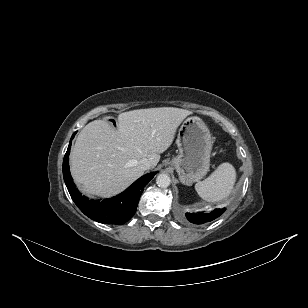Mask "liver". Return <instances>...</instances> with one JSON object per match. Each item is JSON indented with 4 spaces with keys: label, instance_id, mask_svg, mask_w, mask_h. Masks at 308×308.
Returning <instances> with one entry per match:
<instances>
[{
    "label": "liver",
    "instance_id": "liver-1",
    "mask_svg": "<svg viewBox=\"0 0 308 308\" xmlns=\"http://www.w3.org/2000/svg\"><path fill=\"white\" fill-rule=\"evenodd\" d=\"M192 112L174 107L121 113L118 128L104 120L88 123L70 155V169L83 193L108 198L141 177L139 160L155 168L173 142L177 127Z\"/></svg>",
    "mask_w": 308,
    "mask_h": 308
}]
</instances>
